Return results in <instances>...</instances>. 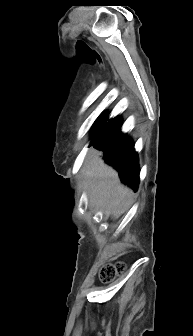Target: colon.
Listing matches in <instances>:
<instances>
[{"label":"colon","mask_w":193,"mask_h":336,"mask_svg":"<svg viewBox=\"0 0 193 336\" xmlns=\"http://www.w3.org/2000/svg\"><path fill=\"white\" fill-rule=\"evenodd\" d=\"M125 269L126 265L122 261L105 264L100 271L99 278L104 283L110 282L119 274L124 273Z\"/></svg>","instance_id":"1"}]
</instances>
